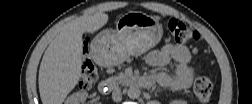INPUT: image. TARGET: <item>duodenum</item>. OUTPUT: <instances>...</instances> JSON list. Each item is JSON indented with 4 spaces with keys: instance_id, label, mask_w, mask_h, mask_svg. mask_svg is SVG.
Instances as JSON below:
<instances>
[{
    "instance_id": "obj_1",
    "label": "duodenum",
    "mask_w": 252,
    "mask_h": 104,
    "mask_svg": "<svg viewBox=\"0 0 252 104\" xmlns=\"http://www.w3.org/2000/svg\"><path fill=\"white\" fill-rule=\"evenodd\" d=\"M123 81L131 86H137L142 88H150L154 84V78L151 76H126ZM117 85L115 78L103 79L99 83V90L101 92H107Z\"/></svg>"
}]
</instances>
